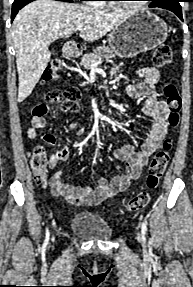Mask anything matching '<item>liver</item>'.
Listing matches in <instances>:
<instances>
[{"mask_svg": "<svg viewBox=\"0 0 193 287\" xmlns=\"http://www.w3.org/2000/svg\"><path fill=\"white\" fill-rule=\"evenodd\" d=\"M131 12L97 9L88 5L36 0L19 11L12 24L19 79L18 102L33 91L50 59L49 45L70 37L82 26L80 37L88 42L101 39Z\"/></svg>", "mask_w": 193, "mask_h": 287, "instance_id": "1", "label": "liver"}]
</instances>
